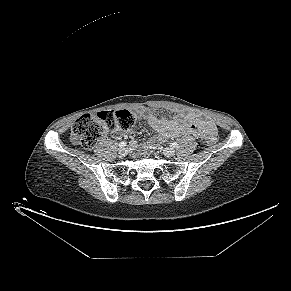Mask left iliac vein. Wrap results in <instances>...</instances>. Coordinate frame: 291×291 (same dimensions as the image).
<instances>
[{
  "label": "left iliac vein",
  "mask_w": 291,
  "mask_h": 291,
  "mask_svg": "<svg viewBox=\"0 0 291 291\" xmlns=\"http://www.w3.org/2000/svg\"><path fill=\"white\" fill-rule=\"evenodd\" d=\"M163 153H164V155L165 156H167V157H172V156H174L175 155V150L173 149V148H165L164 150H163Z\"/></svg>",
  "instance_id": "1"
}]
</instances>
